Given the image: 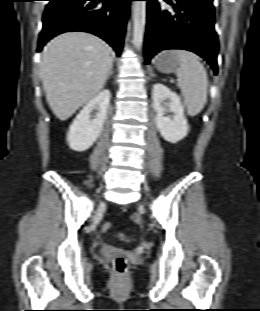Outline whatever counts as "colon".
Wrapping results in <instances>:
<instances>
[{
    "mask_svg": "<svg viewBox=\"0 0 260 311\" xmlns=\"http://www.w3.org/2000/svg\"><path fill=\"white\" fill-rule=\"evenodd\" d=\"M112 228V224L110 222H105L102 225V231L104 233L108 232ZM122 239H125L124 236H121ZM112 266L114 270L118 273H123L126 270L127 262L122 256H116L112 261Z\"/></svg>",
    "mask_w": 260,
    "mask_h": 311,
    "instance_id": "1",
    "label": "colon"
}]
</instances>
